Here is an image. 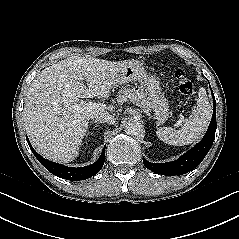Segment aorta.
Masks as SVG:
<instances>
[{
  "instance_id": "aorta-1",
  "label": "aorta",
  "mask_w": 239,
  "mask_h": 239,
  "mask_svg": "<svg viewBox=\"0 0 239 239\" xmlns=\"http://www.w3.org/2000/svg\"><path fill=\"white\" fill-rule=\"evenodd\" d=\"M124 129L126 134L138 136L143 132V125L139 120L131 119L126 122Z\"/></svg>"
}]
</instances>
